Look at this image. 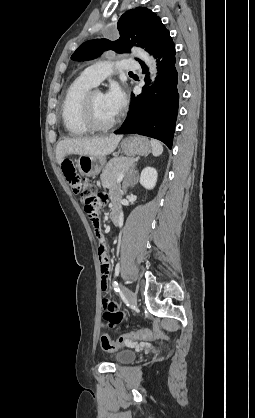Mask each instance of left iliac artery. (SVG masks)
<instances>
[{
	"label": "left iliac artery",
	"instance_id": "44dca946",
	"mask_svg": "<svg viewBox=\"0 0 255 418\" xmlns=\"http://www.w3.org/2000/svg\"><path fill=\"white\" fill-rule=\"evenodd\" d=\"M112 285H113V288L116 292H120L119 284L116 281H114Z\"/></svg>",
	"mask_w": 255,
	"mask_h": 418
}]
</instances>
